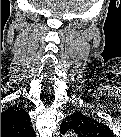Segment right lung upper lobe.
<instances>
[{
  "mask_svg": "<svg viewBox=\"0 0 121 137\" xmlns=\"http://www.w3.org/2000/svg\"><path fill=\"white\" fill-rule=\"evenodd\" d=\"M30 117L20 107L13 106L1 113V134L16 135L34 133Z\"/></svg>",
  "mask_w": 121,
  "mask_h": 137,
  "instance_id": "1",
  "label": "right lung upper lobe"
}]
</instances>
